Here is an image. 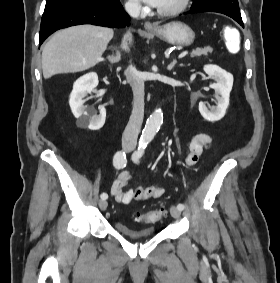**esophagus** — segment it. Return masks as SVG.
<instances>
[{"label":"esophagus","mask_w":280,"mask_h":283,"mask_svg":"<svg viewBox=\"0 0 280 283\" xmlns=\"http://www.w3.org/2000/svg\"><path fill=\"white\" fill-rule=\"evenodd\" d=\"M144 28L146 30H155V29H157V25H155V24H153L151 22H145Z\"/></svg>","instance_id":"34e87169"}]
</instances>
